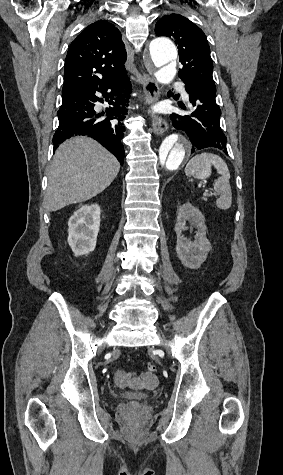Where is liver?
Segmentation results:
<instances>
[{"label": "liver", "instance_id": "liver-1", "mask_svg": "<svg viewBox=\"0 0 283 475\" xmlns=\"http://www.w3.org/2000/svg\"><path fill=\"white\" fill-rule=\"evenodd\" d=\"M119 170L115 156L96 140L87 136L66 140L56 150L49 170L48 212L91 200L110 186Z\"/></svg>", "mask_w": 283, "mask_h": 475}]
</instances>
